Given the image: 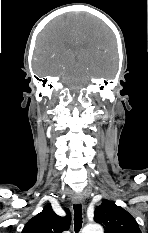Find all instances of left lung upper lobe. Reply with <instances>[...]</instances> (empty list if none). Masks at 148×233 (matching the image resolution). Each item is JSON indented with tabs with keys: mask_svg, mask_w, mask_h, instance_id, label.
<instances>
[{
	"mask_svg": "<svg viewBox=\"0 0 148 233\" xmlns=\"http://www.w3.org/2000/svg\"><path fill=\"white\" fill-rule=\"evenodd\" d=\"M94 221L103 225L105 233H141L133 216L111 201L96 207Z\"/></svg>",
	"mask_w": 148,
	"mask_h": 233,
	"instance_id": "5c2ea615",
	"label": "left lung upper lobe"
}]
</instances>
